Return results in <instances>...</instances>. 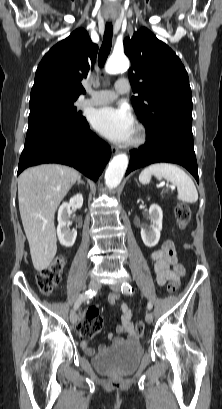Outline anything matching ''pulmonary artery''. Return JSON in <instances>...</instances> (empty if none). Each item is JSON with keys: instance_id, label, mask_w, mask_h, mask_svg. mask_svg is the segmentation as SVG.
I'll return each mask as SVG.
<instances>
[{"instance_id": "1", "label": "pulmonary artery", "mask_w": 222, "mask_h": 409, "mask_svg": "<svg viewBox=\"0 0 222 409\" xmlns=\"http://www.w3.org/2000/svg\"><path fill=\"white\" fill-rule=\"evenodd\" d=\"M129 91V86L124 80H118L114 89L110 90H97L93 91L88 89L90 95L89 98L85 99L82 103L86 105H104L114 101L118 95L125 94Z\"/></svg>"}]
</instances>
